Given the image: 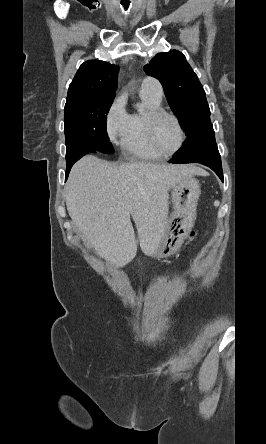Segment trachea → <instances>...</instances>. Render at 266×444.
Wrapping results in <instances>:
<instances>
[{"label":"trachea","mask_w":266,"mask_h":444,"mask_svg":"<svg viewBox=\"0 0 266 444\" xmlns=\"http://www.w3.org/2000/svg\"><path fill=\"white\" fill-rule=\"evenodd\" d=\"M129 4H130V2L128 3H122V5H123V7L127 10L128 9V7H129Z\"/></svg>","instance_id":"1"}]
</instances>
